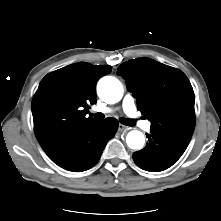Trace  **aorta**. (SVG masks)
I'll return each mask as SVG.
<instances>
[{
	"label": "aorta",
	"instance_id": "obj_1",
	"mask_svg": "<svg viewBox=\"0 0 221 221\" xmlns=\"http://www.w3.org/2000/svg\"><path fill=\"white\" fill-rule=\"evenodd\" d=\"M97 91L99 97L109 104L120 101L124 92L121 82L112 76L102 77L98 82ZM126 143L131 149H142L145 143L143 133L138 130L130 131L127 134Z\"/></svg>",
	"mask_w": 221,
	"mask_h": 221
}]
</instances>
